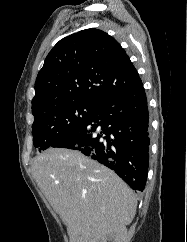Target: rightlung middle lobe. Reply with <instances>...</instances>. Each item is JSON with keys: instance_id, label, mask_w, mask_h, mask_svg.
I'll return each mask as SVG.
<instances>
[{"instance_id": "dd1d6c3e", "label": "right lung middle lobe", "mask_w": 187, "mask_h": 242, "mask_svg": "<svg viewBox=\"0 0 187 242\" xmlns=\"http://www.w3.org/2000/svg\"><path fill=\"white\" fill-rule=\"evenodd\" d=\"M98 107L86 102H72L35 116L32 125L34 147L39 151L51 147L89 119Z\"/></svg>"}]
</instances>
